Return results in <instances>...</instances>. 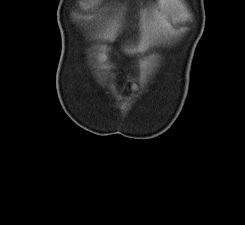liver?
<instances>
[{
	"label": "liver",
	"mask_w": 245,
	"mask_h": 225,
	"mask_svg": "<svg viewBox=\"0 0 245 225\" xmlns=\"http://www.w3.org/2000/svg\"><path fill=\"white\" fill-rule=\"evenodd\" d=\"M129 51V53H134V52H136V49H130V50H128Z\"/></svg>",
	"instance_id": "liver-1"
}]
</instances>
